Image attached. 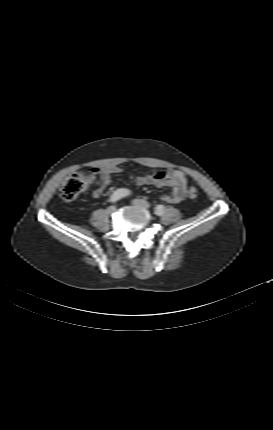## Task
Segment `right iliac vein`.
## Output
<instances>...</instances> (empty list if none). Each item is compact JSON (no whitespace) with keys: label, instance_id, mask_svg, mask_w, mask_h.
<instances>
[{"label":"right iliac vein","instance_id":"obj_1","mask_svg":"<svg viewBox=\"0 0 273 430\" xmlns=\"http://www.w3.org/2000/svg\"><path fill=\"white\" fill-rule=\"evenodd\" d=\"M115 210H116L115 206H110V207L107 209V212H108L109 214H112Z\"/></svg>","mask_w":273,"mask_h":430}]
</instances>
